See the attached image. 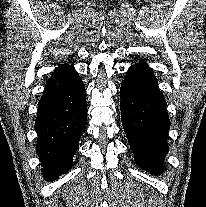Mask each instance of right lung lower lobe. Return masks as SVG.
Segmentation results:
<instances>
[{
    "instance_id": "98d812e1",
    "label": "right lung lower lobe",
    "mask_w": 206,
    "mask_h": 207,
    "mask_svg": "<svg viewBox=\"0 0 206 207\" xmlns=\"http://www.w3.org/2000/svg\"><path fill=\"white\" fill-rule=\"evenodd\" d=\"M86 116L85 86L74 67L62 64L45 85L35 121L36 152L46 180H55L71 168Z\"/></svg>"
}]
</instances>
